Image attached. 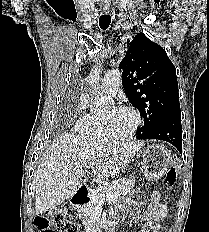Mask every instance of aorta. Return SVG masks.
<instances>
[{
    "label": "aorta",
    "mask_w": 209,
    "mask_h": 232,
    "mask_svg": "<svg viewBox=\"0 0 209 232\" xmlns=\"http://www.w3.org/2000/svg\"><path fill=\"white\" fill-rule=\"evenodd\" d=\"M101 72L102 65L96 64L92 67L88 76V80L94 95V99L92 101V107L94 110H102L109 107L112 104V101L106 96H103L102 93L98 90V83L100 81Z\"/></svg>",
    "instance_id": "obj_1"
}]
</instances>
